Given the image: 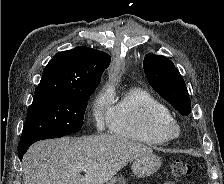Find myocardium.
<instances>
[{
    "label": "myocardium",
    "mask_w": 224,
    "mask_h": 184,
    "mask_svg": "<svg viewBox=\"0 0 224 184\" xmlns=\"http://www.w3.org/2000/svg\"><path fill=\"white\" fill-rule=\"evenodd\" d=\"M180 130V125L173 118L166 119L158 125V131L168 140L177 137Z\"/></svg>",
    "instance_id": "obj_1"
}]
</instances>
